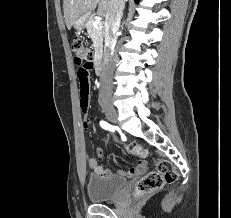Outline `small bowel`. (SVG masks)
<instances>
[{"mask_svg": "<svg viewBox=\"0 0 231 218\" xmlns=\"http://www.w3.org/2000/svg\"><path fill=\"white\" fill-rule=\"evenodd\" d=\"M93 68V60H87V63H81V66H77L76 74L79 80V97H80V106L83 112L87 111L89 96H90V82H89V74L91 73V69ZM98 154H102V150L98 149ZM88 166L97 174L101 176H108L111 174L110 170L103 168L98 162V160L94 157L89 158ZM147 169V163L144 160H139L137 165L128 171L119 170L117 174L119 176L125 177H135L145 172Z\"/></svg>", "mask_w": 231, "mask_h": 218, "instance_id": "small-bowel-1", "label": "small bowel"}]
</instances>
